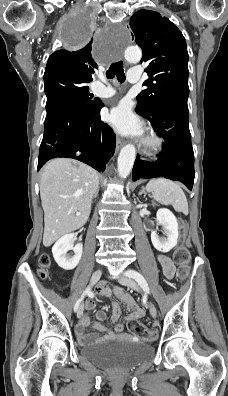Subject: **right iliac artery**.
<instances>
[{
	"label": "right iliac artery",
	"mask_w": 228,
	"mask_h": 396,
	"mask_svg": "<svg viewBox=\"0 0 228 396\" xmlns=\"http://www.w3.org/2000/svg\"><path fill=\"white\" fill-rule=\"evenodd\" d=\"M89 292H90V289H89V288H87V289L83 292V294L81 295V297H80V298L77 300V302L75 303L74 311H77V309H78V307H79L81 301L83 300V298H84Z\"/></svg>",
	"instance_id": "1"
}]
</instances>
